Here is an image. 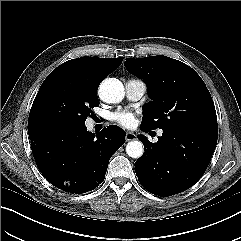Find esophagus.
<instances>
[{
    "label": "esophagus",
    "instance_id": "1",
    "mask_svg": "<svg viewBox=\"0 0 241 241\" xmlns=\"http://www.w3.org/2000/svg\"><path fill=\"white\" fill-rule=\"evenodd\" d=\"M126 141H132L136 139V135L132 132H127L125 136Z\"/></svg>",
    "mask_w": 241,
    "mask_h": 241
}]
</instances>
